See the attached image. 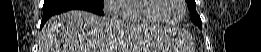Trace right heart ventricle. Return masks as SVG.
I'll return each instance as SVG.
<instances>
[{
  "label": "right heart ventricle",
  "instance_id": "e07e8e85",
  "mask_svg": "<svg viewBox=\"0 0 261 52\" xmlns=\"http://www.w3.org/2000/svg\"><path fill=\"white\" fill-rule=\"evenodd\" d=\"M152 0H127L116 7L122 14V22L127 24H160L158 17L150 9Z\"/></svg>",
  "mask_w": 261,
  "mask_h": 52
}]
</instances>
